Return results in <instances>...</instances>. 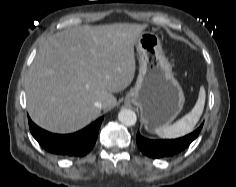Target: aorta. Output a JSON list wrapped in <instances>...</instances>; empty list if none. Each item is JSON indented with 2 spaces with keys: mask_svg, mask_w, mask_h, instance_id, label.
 <instances>
[{
  "mask_svg": "<svg viewBox=\"0 0 236 187\" xmlns=\"http://www.w3.org/2000/svg\"><path fill=\"white\" fill-rule=\"evenodd\" d=\"M118 120L126 126H133L137 121V116L130 109H122L118 114Z\"/></svg>",
  "mask_w": 236,
  "mask_h": 187,
  "instance_id": "762f6f07",
  "label": "aorta"
}]
</instances>
